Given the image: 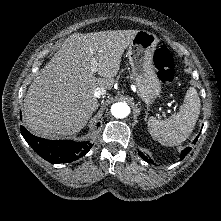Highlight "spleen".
<instances>
[{
  "instance_id": "obj_1",
  "label": "spleen",
  "mask_w": 221,
  "mask_h": 221,
  "mask_svg": "<svg viewBox=\"0 0 221 221\" xmlns=\"http://www.w3.org/2000/svg\"><path fill=\"white\" fill-rule=\"evenodd\" d=\"M201 103L195 88L188 89L179 112L170 118L160 120L149 117L148 130L154 140L164 146H177L192 133L200 114Z\"/></svg>"
}]
</instances>
